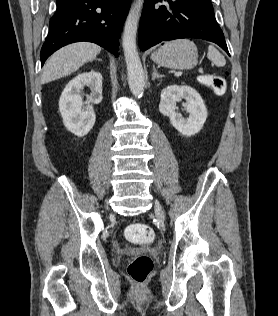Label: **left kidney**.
<instances>
[{"instance_id": "left-kidney-1", "label": "left kidney", "mask_w": 278, "mask_h": 316, "mask_svg": "<svg viewBox=\"0 0 278 316\" xmlns=\"http://www.w3.org/2000/svg\"><path fill=\"white\" fill-rule=\"evenodd\" d=\"M182 98L186 100L185 109L189 113L187 119L175 112L176 103ZM159 110L170 118L175 129L186 136H193L198 133L207 119V109L202 97L195 89L187 85H171L163 89Z\"/></svg>"}]
</instances>
